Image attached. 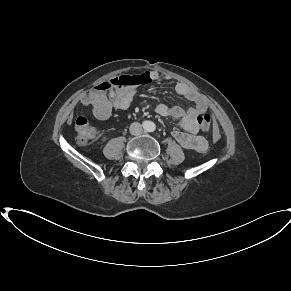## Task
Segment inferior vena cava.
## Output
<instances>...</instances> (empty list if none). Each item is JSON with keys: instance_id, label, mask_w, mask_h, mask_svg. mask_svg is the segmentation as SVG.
I'll list each match as a JSON object with an SVG mask.
<instances>
[{"instance_id": "1", "label": "inferior vena cava", "mask_w": 291, "mask_h": 291, "mask_svg": "<svg viewBox=\"0 0 291 291\" xmlns=\"http://www.w3.org/2000/svg\"><path fill=\"white\" fill-rule=\"evenodd\" d=\"M130 133L135 136H139L143 133L142 125L138 122H134L130 125Z\"/></svg>"}]
</instances>
